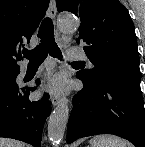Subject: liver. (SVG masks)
Segmentation results:
<instances>
[{"instance_id":"6515ba94","label":"liver","mask_w":145,"mask_h":147,"mask_svg":"<svg viewBox=\"0 0 145 147\" xmlns=\"http://www.w3.org/2000/svg\"><path fill=\"white\" fill-rule=\"evenodd\" d=\"M0 147H24V145L16 140L0 138Z\"/></svg>"}]
</instances>
